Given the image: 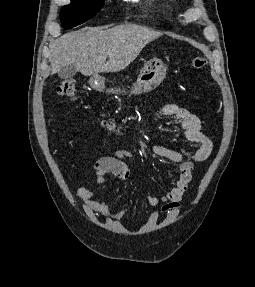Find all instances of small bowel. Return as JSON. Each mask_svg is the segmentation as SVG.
Segmentation results:
<instances>
[{"label":"small bowel","mask_w":255,"mask_h":287,"mask_svg":"<svg viewBox=\"0 0 255 287\" xmlns=\"http://www.w3.org/2000/svg\"><path fill=\"white\" fill-rule=\"evenodd\" d=\"M173 116L180 122L181 134L189 142L199 144L198 149L189 157H185L181 152L167 148L162 145L150 146V152L158 157L166 158L178 165V179L173 187L160 197H146V202L157 207L149 216V222L155 223L160 214H169L179 209L184 193L188 189L192 179L194 163L203 162L211 155L212 141L203 133L199 117L185 108L179 107L176 103H170L161 107L155 114L159 117ZM177 136L180 134L177 133ZM132 156L131 151L120 150L112 155L100 157L93 165V172L99 184H104V176L111 174L117 180L124 181L128 178L129 169L124 160ZM74 195L83 203L84 210L90 218H97L99 215L120 220L125 216V210L119 207H111L106 201L97 199L96 194L83 187L74 189Z\"/></svg>","instance_id":"small-bowel-1"}]
</instances>
